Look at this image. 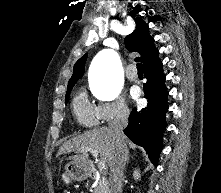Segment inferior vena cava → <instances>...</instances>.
I'll use <instances>...</instances> for the list:
<instances>
[{
    "instance_id": "602c4592",
    "label": "inferior vena cava",
    "mask_w": 221,
    "mask_h": 193,
    "mask_svg": "<svg viewBox=\"0 0 221 193\" xmlns=\"http://www.w3.org/2000/svg\"><path fill=\"white\" fill-rule=\"evenodd\" d=\"M128 116V109L122 108L109 126L113 130L115 138V153L109 164L110 193H121L122 191L123 171L128 156V149L124 142L123 130L128 124Z\"/></svg>"
}]
</instances>
